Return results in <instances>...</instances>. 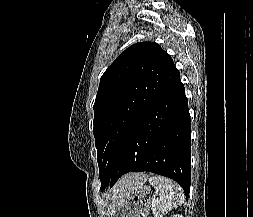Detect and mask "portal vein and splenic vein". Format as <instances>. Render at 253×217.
Segmentation results:
<instances>
[{"mask_svg": "<svg viewBox=\"0 0 253 217\" xmlns=\"http://www.w3.org/2000/svg\"><path fill=\"white\" fill-rule=\"evenodd\" d=\"M154 214H155V215H156V217H157V214H158V213H157L156 211L154 212Z\"/></svg>", "mask_w": 253, "mask_h": 217, "instance_id": "18ae733b", "label": "portal vein and splenic vein"}]
</instances>
